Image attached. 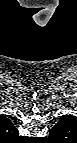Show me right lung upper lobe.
I'll use <instances>...</instances> for the list:
<instances>
[{
	"instance_id": "obj_1",
	"label": "right lung upper lobe",
	"mask_w": 77,
	"mask_h": 143,
	"mask_svg": "<svg viewBox=\"0 0 77 143\" xmlns=\"http://www.w3.org/2000/svg\"><path fill=\"white\" fill-rule=\"evenodd\" d=\"M0 125H1V129L4 132H7L9 134H16L17 133V129L14 127L12 122L4 115H1Z\"/></svg>"
}]
</instances>
